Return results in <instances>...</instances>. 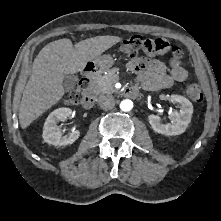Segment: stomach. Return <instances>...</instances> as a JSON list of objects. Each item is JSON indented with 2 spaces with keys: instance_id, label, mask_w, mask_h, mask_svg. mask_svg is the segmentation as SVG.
<instances>
[{
  "instance_id": "stomach-1",
  "label": "stomach",
  "mask_w": 221,
  "mask_h": 221,
  "mask_svg": "<svg viewBox=\"0 0 221 221\" xmlns=\"http://www.w3.org/2000/svg\"><path fill=\"white\" fill-rule=\"evenodd\" d=\"M114 64V60L110 55H103L94 60V65L100 71L108 70Z\"/></svg>"
}]
</instances>
